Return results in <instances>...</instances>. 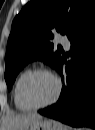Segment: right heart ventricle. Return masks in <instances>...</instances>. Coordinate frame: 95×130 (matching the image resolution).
I'll return each mask as SVG.
<instances>
[{
    "label": "right heart ventricle",
    "mask_w": 95,
    "mask_h": 130,
    "mask_svg": "<svg viewBox=\"0 0 95 130\" xmlns=\"http://www.w3.org/2000/svg\"><path fill=\"white\" fill-rule=\"evenodd\" d=\"M29 71L27 70H24L22 71L19 76L17 77L16 81H15V84H14V88H13V102H14V105L15 107L19 110V111H23V112H26V111H29L30 109L28 107H26L20 100V96H19V88H20V85H21V82L22 80L24 79V77L26 76V74L28 73Z\"/></svg>",
    "instance_id": "e07e8e85"
}]
</instances>
